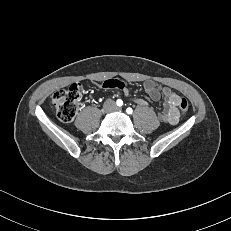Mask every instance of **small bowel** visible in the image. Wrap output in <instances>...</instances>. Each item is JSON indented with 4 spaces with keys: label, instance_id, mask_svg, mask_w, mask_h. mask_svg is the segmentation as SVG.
Returning <instances> with one entry per match:
<instances>
[{
    "label": "small bowel",
    "instance_id": "1",
    "mask_svg": "<svg viewBox=\"0 0 231 231\" xmlns=\"http://www.w3.org/2000/svg\"><path fill=\"white\" fill-rule=\"evenodd\" d=\"M103 87L108 89H119L122 90L126 95H128L127 86L119 80L116 79H109L103 83ZM143 87L145 92L148 96L154 100L158 101L161 97L164 98L165 104L164 109L158 112V117L161 121L175 125L179 122V102L181 97L173 92L168 87H160L152 80H146L143 83ZM132 102L136 103L137 105L148 107V102L143 99H131Z\"/></svg>",
    "mask_w": 231,
    "mask_h": 231
}]
</instances>
